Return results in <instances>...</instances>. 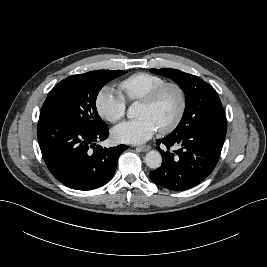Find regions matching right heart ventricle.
Instances as JSON below:
<instances>
[{
	"label": "right heart ventricle",
	"instance_id": "1",
	"mask_svg": "<svg viewBox=\"0 0 267 267\" xmlns=\"http://www.w3.org/2000/svg\"><path fill=\"white\" fill-rule=\"evenodd\" d=\"M166 80L158 75L138 72L128 76L119 83L121 96L130 102L140 101L153 89L165 83Z\"/></svg>",
	"mask_w": 267,
	"mask_h": 267
}]
</instances>
